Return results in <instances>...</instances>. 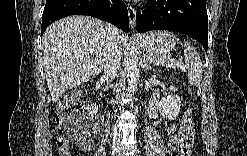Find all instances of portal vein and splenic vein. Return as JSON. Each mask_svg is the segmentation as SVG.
Instances as JSON below:
<instances>
[{
  "label": "portal vein and splenic vein",
  "instance_id": "obj_1",
  "mask_svg": "<svg viewBox=\"0 0 247 156\" xmlns=\"http://www.w3.org/2000/svg\"><path fill=\"white\" fill-rule=\"evenodd\" d=\"M180 67L182 70H185V66H181V63L180 62H178V61H175V60H171V64H169V67H172V68H174V67Z\"/></svg>",
  "mask_w": 247,
  "mask_h": 156
}]
</instances>
